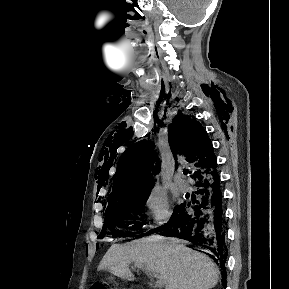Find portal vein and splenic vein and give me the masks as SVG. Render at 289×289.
Returning <instances> with one entry per match:
<instances>
[{"instance_id":"obj_1","label":"portal vein and splenic vein","mask_w":289,"mask_h":289,"mask_svg":"<svg viewBox=\"0 0 289 289\" xmlns=\"http://www.w3.org/2000/svg\"><path fill=\"white\" fill-rule=\"evenodd\" d=\"M153 276H154V277H157V278L159 279V276H157L156 274H153ZM163 285H164V284H163V282H161L160 279L156 281V286L162 287Z\"/></svg>"}]
</instances>
